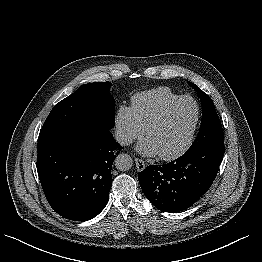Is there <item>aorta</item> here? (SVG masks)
Wrapping results in <instances>:
<instances>
[{
	"mask_svg": "<svg viewBox=\"0 0 262 262\" xmlns=\"http://www.w3.org/2000/svg\"><path fill=\"white\" fill-rule=\"evenodd\" d=\"M133 160L128 154H119L115 159V166L120 171H127L131 169Z\"/></svg>",
	"mask_w": 262,
	"mask_h": 262,
	"instance_id": "1",
	"label": "aorta"
}]
</instances>
